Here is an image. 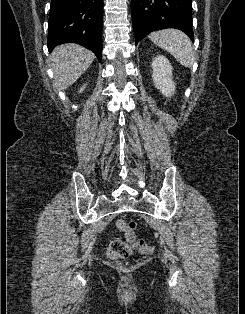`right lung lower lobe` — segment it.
I'll list each match as a JSON object with an SVG mask.
<instances>
[{
	"label": "right lung lower lobe",
	"instance_id": "obj_1",
	"mask_svg": "<svg viewBox=\"0 0 245 314\" xmlns=\"http://www.w3.org/2000/svg\"><path fill=\"white\" fill-rule=\"evenodd\" d=\"M103 0H52L47 46L61 43L83 45L99 60L102 54Z\"/></svg>",
	"mask_w": 245,
	"mask_h": 314
}]
</instances>
